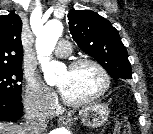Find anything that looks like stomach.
<instances>
[{"label":"stomach","instance_id":"1","mask_svg":"<svg viewBox=\"0 0 153 134\" xmlns=\"http://www.w3.org/2000/svg\"><path fill=\"white\" fill-rule=\"evenodd\" d=\"M109 108L107 105L93 103L83 108L80 113L81 123L87 128H99L103 126L109 117Z\"/></svg>","mask_w":153,"mask_h":134}]
</instances>
